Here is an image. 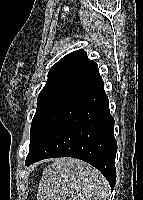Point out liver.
<instances>
[{"label":"liver","mask_w":143,"mask_h":200,"mask_svg":"<svg viewBox=\"0 0 143 200\" xmlns=\"http://www.w3.org/2000/svg\"><path fill=\"white\" fill-rule=\"evenodd\" d=\"M108 189V182L95 167L62 157L43 171L37 200H106Z\"/></svg>","instance_id":"1"}]
</instances>
